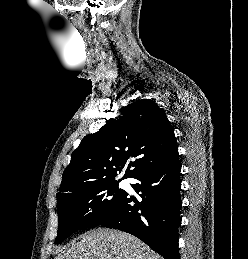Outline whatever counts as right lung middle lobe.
I'll list each match as a JSON object with an SVG mask.
<instances>
[{"label": "right lung middle lobe", "mask_w": 248, "mask_h": 259, "mask_svg": "<svg viewBox=\"0 0 248 259\" xmlns=\"http://www.w3.org/2000/svg\"><path fill=\"white\" fill-rule=\"evenodd\" d=\"M125 194L116 180L71 189L57 200L59 227L55 244L77 230L99 226L109 220Z\"/></svg>", "instance_id": "right-lung-middle-lobe-1"}]
</instances>
